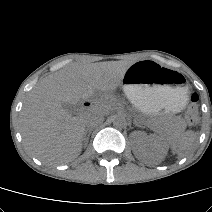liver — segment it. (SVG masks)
I'll return each instance as SVG.
<instances>
[{
	"label": "liver",
	"instance_id": "6515ba94",
	"mask_svg": "<svg viewBox=\"0 0 212 212\" xmlns=\"http://www.w3.org/2000/svg\"><path fill=\"white\" fill-rule=\"evenodd\" d=\"M130 63L72 64L47 76L31 91L20 116L27 151L44 164L74 160L82 151L86 114L72 116L62 104H77L89 90L111 93L122 83ZM94 112L104 113L102 105Z\"/></svg>",
	"mask_w": 212,
	"mask_h": 212
}]
</instances>
